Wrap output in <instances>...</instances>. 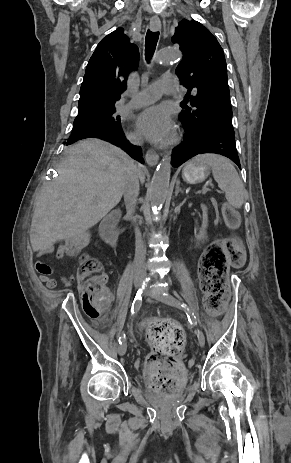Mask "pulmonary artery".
I'll use <instances>...</instances> for the list:
<instances>
[{
	"label": "pulmonary artery",
	"mask_w": 291,
	"mask_h": 463,
	"mask_svg": "<svg viewBox=\"0 0 291 463\" xmlns=\"http://www.w3.org/2000/svg\"><path fill=\"white\" fill-rule=\"evenodd\" d=\"M163 94L180 95L177 78L171 75H163L156 82L146 86L135 94L128 107L137 108L157 101Z\"/></svg>",
	"instance_id": "obj_1"
}]
</instances>
